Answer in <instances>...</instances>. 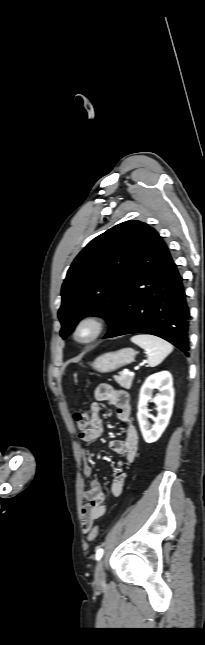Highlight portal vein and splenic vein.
<instances>
[{
  "mask_svg": "<svg viewBox=\"0 0 205 645\" xmlns=\"http://www.w3.org/2000/svg\"><path fill=\"white\" fill-rule=\"evenodd\" d=\"M123 373H124L125 375H128V374L133 375V373H132V372H130L129 370H127V369H126V370H124V371H123Z\"/></svg>",
  "mask_w": 205,
  "mask_h": 645,
  "instance_id": "obj_1",
  "label": "portal vein and splenic vein"
}]
</instances>
